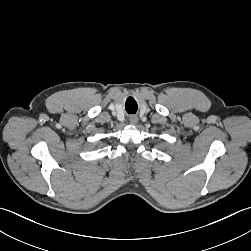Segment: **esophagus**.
Masks as SVG:
<instances>
[{"label": "esophagus", "mask_w": 251, "mask_h": 251, "mask_svg": "<svg viewBox=\"0 0 251 251\" xmlns=\"http://www.w3.org/2000/svg\"><path fill=\"white\" fill-rule=\"evenodd\" d=\"M137 120L138 119L136 116H130V118H129L130 124H133V125H135L137 123Z\"/></svg>", "instance_id": "34e87169"}]
</instances>
